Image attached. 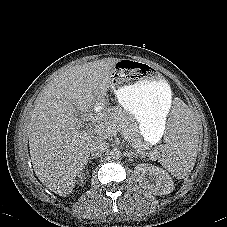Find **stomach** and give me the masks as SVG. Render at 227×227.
Masks as SVG:
<instances>
[{"label": "stomach", "instance_id": "stomach-1", "mask_svg": "<svg viewBox=\"0 0 227 227\" xmlns=\"http://www.w3.org/2000/svg\"><path fill=\"white\" fill-rule=\"evenodd\" d=\"M111 89L137 120L147 144L158 141L171 106V89L164 77L148 65L123 59L111 69Z\"/></svg>", "mask_w": 227, "mask_h": 227}]
</instances>
